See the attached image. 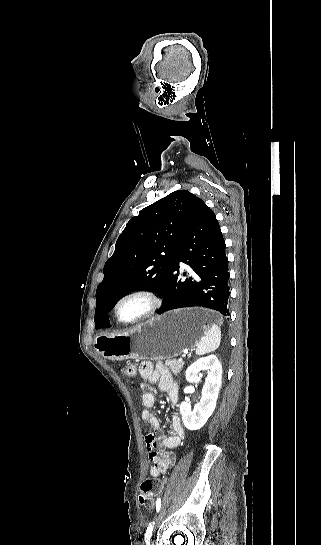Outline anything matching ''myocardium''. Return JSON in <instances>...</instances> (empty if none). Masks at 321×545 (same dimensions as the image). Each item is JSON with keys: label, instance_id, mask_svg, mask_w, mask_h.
Listing matches in <instances>:
<instances>
[{"label": "myocardium", "instance_id": "f54148a6", "mask_svg": "<svg viewBox=\"0 0 321 545\" xmlns=\"http://www.w3.org/2000/svg\"><path fill=\"white\" fill-rule=\"evenodd\" d=\"M133 299H140L145 301L146 308L144 312L138 317L131 320H124L119 314V308L123 303ZM162 306L163 300L156 291L147 288H136L129 290L119 296L114 305V314L118 322H120L121 324H124L126 326H135L153 318L159 312Z\"/></svg>", "mask_w": 321, "mask_h": 545}]
</instances>
